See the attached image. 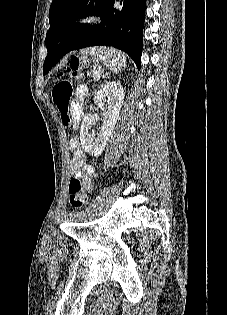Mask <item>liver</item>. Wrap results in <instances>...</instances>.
<instances>
[{"mask_svg":"<svg viewBox=\"0 0 227 315\" xmlns=\"http://www.w3.org/2000/svg\"><path fill=\"white\" fill-rule=\"evenodd\" d=\"M95 50H96V49H92L91 52H92V51H95Z\"/></svg>","mask_w":227,"mask_h":315,"instance_id":"liver-1","label":"liver"}]
</instances>
